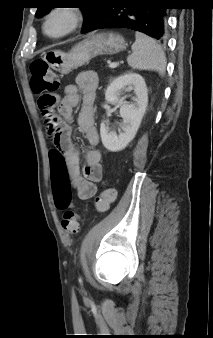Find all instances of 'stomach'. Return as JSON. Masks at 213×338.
Instances as JSON below:
<instances>
[{"mask_svg": "<svg viewBox=\"0 0 213 338\" xmlns=\"http://www.w3.org/2000/svg\"><path fill=\"white\" fill-rule=\"evenodd\" d=\"M127 47L125 39L116 33H91L68 53L49 51L44 55L48 65L61 74H68L98 55L117 54Z\"/></svg>", "mask_w": 213, "mask_h": 338, "instance_id": "1", "label": "stomach"}]
</instances>
